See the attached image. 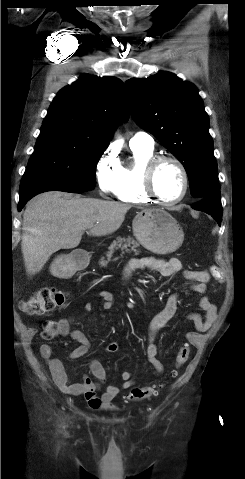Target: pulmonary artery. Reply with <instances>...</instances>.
<instances>
[{
	"label": "pulmonary artery",
	"instance_id": "pulmonary-artery-1",
	"mask_svg": "<svg viewBox=\"0 0 245 479\" xmlns=\"http://www.w3.org/2000/svg\"><path fill=\"white\" fill-rule=\"evenodd\" d=\"M130 145L154 148V139L146 132H137L131 137Z\"/></svg>",
	"mask_w": 245,
	"mask_h": 479
}]
</instances>
